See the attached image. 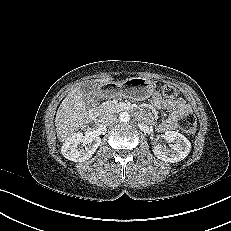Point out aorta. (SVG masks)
Returning a JSON list of instances; mask_svg holds the SVG:
<instances>
[{"instance_id":"1","label":"aorta","mask_w":231,"mask_h":231,"mask_svg":"<svg viewBox=\"0 0 231 231\" xmlns=\"http://www.w3.org/2000/svg\"><path fill=\"white\" fill-rule=\"evenodd\" d=\"M119 119L121 122H129L130 120V115L127 112H121L119 115Z\"/></svg>"}]
</instances>
